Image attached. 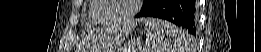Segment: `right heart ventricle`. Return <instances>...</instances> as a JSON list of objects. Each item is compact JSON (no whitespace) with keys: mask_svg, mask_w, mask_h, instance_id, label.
<instances>
[{"mask_svg":"<svg viewBox=\"0 0 261 52\" xmlns=\"http://www.w3.org/2000/svg\"><path fill=\"white\" fill-rule=\"evenodd\" d=\"M99 7V3L96 0L91 1L90 6L88 8V18L91 21V23L93 24H100L95 12Z\"/></svg>","mask_w":261,"mask_h":52,"instance_id":"obj_1","label":"right heart ventricle"}]
</instances>
